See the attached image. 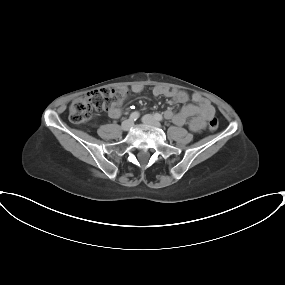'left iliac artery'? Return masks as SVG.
Returning <instances> with one entry per match:
<instances>
[{
    "instance_id": "left-iliac-artery-1",
    "label": "left iliac artery",
    "mask_w": 285,
    "mask_h": 285,
    "mask_svg": "<svg viewBox=\"0 0 285 285\" xmlns=\"http://www.w3.org/2000/svg\"><path fill=\"white\" fill-rule=\"evenodd\" d=\"M154 118H155L156 120H158V121H163V117H162V115H160L159 113H155V114H154Z\"/></svg>"
}]
</instances>
